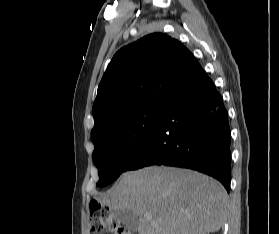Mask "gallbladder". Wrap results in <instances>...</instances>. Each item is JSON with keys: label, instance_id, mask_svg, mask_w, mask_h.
Listing matches in <instances>:
<instances>
[{"label": "gallbladder", "instance_id": "gallbladder-1", "mask_svg": "<svg viewBox=\"0 0 279 234\" xmlns=\"http://www.w3.org/2000/svg\"><path fill=\"white\" fill-rule=\"evenodd\" d=\"M113 215L131 231L137 230V220L131 212L127 210H114Z\"/></svg>", "mask_w": 279, "mask_h": 234}]
</instances>
